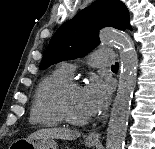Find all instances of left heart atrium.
Returning <instances> with one entry per match:
<instances>
[{"label":"left heart atrium","mask_w":155,"mask_h":149,"mask_svg":"<svg viewBox=\"0 0 155 149\" xmlns=\"http://www.w3.org/2000/svg\"><path fill=\"white\" fill-rule=\"evenodd\" d=\"M110 87L98 78H92L82 88V99L88 116L101 113L109 104Z\"/></svg>","instance_id":"left-heart-atrium-1"}]
</instances>
